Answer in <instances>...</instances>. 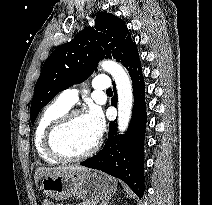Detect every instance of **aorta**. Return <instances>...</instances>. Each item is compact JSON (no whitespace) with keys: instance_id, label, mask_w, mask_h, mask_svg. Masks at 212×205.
Here are the masks:
<instances>
[{"instance_id":"obj_1","label":"aorta","mask_w":212,"mask_h":205,"mask_svg":"<svg viewBox=\"0 0 212 205\" xmlns=\"http://www.w3.org/2000/svg\"><path fill=\"white\" fill-rule=\"evenodd\" d=\"M103 70L113 77L118 94V130L124 133L129 125L133 106L132 84L125 69L117 62L104 60L100 63Z\"/></svg>"}]
</instances>
